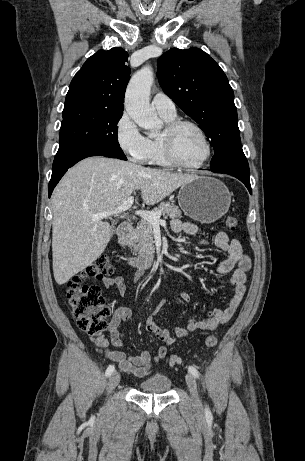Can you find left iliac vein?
Instances as JSON below:
<instances>
[{
  "label": "left iliac vein",
  "mask_w": 305,
  "mask_h": 461,
  "mask_svg": "<svg viewBox=\"0 0 305 461\" xmlns=\"http://www.w3.org/2000/svg\"><path fill=\"white\" fill-rule=\"evenodd\" d=\"M185 379H186V383L188 385V388H189V390L191 392L193 405L197 409H200L202 407V405H201V401H200L198 391H197L196 380H195L194 376L191 373H187L186 376H185Z\"/></svg>",
  "instance_id": "1"
}]
</instances>
